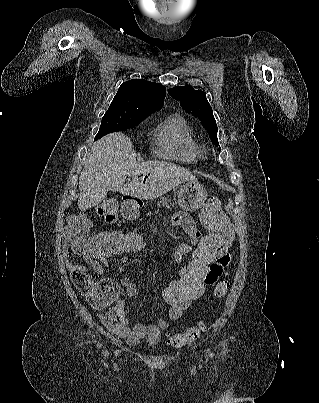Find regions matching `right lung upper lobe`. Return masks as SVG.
<instances>
[{"mask_svg":"<svg viewBox=\"0 0 319 403\" xmlns=\"http://www.w3.org/2000/svg\"><path fill=\"white\" fill-rule=\"evenodd\" d=\"M166 88L147 80H129L118 89L109 108H117L138 116H149L164 104Z\"/></svg>","mask_w":319,"mask_h":403,"instance_id":"1","label":"right lung upper lobe"}]
</instances>
